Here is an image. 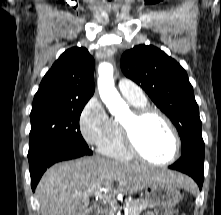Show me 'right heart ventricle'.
<instances>
[{
  "instance_id": "1",
  "label": "right heart ventricle",
  "mask_w": 221,
  "mask_h": 215,
  "mask_svg": "<svg viewBox=\"0 0 221 215\" xmlns=\"http://www.w3.org/2000/svg\"><path fill=\"white\" fill-rule=\"evenodd\" d=\"M134 107L146 106V100L144 101H132L127 99ZM99 152L107 157L129 161L133 156L127 151L124 146L120 121L111 119V128L107 138L98 146Z\"/></svg>"
}]
</instances>
